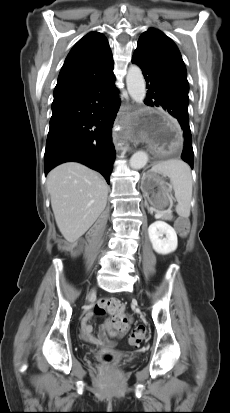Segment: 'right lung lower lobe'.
<instances>
[{
	"instance_id": "1",
	"label": "right lung lower lobe",
	"mask_w": 230,
	"mask_h": 413,
	"mask_svg": "<svg viewBox=\"0 0 230 413\" xmlns=\"http://www.w3.org/2000/svg\"><path fill=\"white\" fill-rule=\"evenodd\" d=\"M115 76L83 90L55 96L44 155L45 175L55 166L80 162L109 182L115 158L111 128L119 109Z\"/></svg>"
}]
</instances>
